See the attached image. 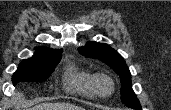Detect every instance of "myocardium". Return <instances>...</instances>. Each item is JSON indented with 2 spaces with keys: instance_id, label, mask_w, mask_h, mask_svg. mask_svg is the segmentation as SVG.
<instances>
[{
  "instance_id": "obj_1",
  "label": "myocardium",
  "mask_w": 171,
  "mask_h": 110,
  "mask_svg": "<svg viewBox=\"0 0 171 110\" xmlns=\"http://www.w3.org/2000/svg\"><path fill=\"white\" fill-rule=\"evenodd\" d=\"M104 80L110 84V91L108 93L103 92L100 87L101 82ZM92 83H93V89H94L95 94L100 97L107 98L111 96L115 91L114 80L107 73H104V72L96 73L95 75H93Z\"/></svg>"
}]
</instances>
